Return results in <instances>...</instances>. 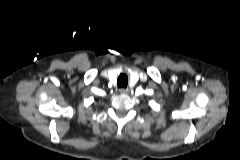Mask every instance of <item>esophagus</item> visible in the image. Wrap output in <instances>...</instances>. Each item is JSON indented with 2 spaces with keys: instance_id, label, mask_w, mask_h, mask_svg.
I'll use <instances>...</instances> for the list:
<instances>
[{
  "instance_id": "obj_1",
  "label": "esophagus",
  "mask_w": 240,
  "mask_h": 160,
  "mask_svg": "<svg viewBox=\"0 0 240 160\" xmlns=\"http://www.w3.org/2000/svg\"><path fill=\"white\" fill-rule=\"evenodd\" d=\"M119 92H120L121 94H127V93L129 92V90L126 89V88H121V89L119 90Z\"/></svg>"
}]
</instances>
